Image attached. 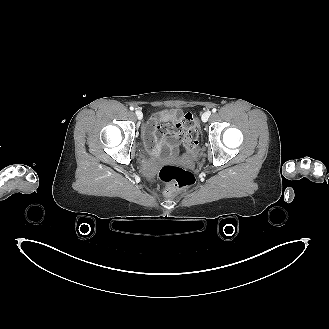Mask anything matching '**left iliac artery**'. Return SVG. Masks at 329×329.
Segmentation results:
<instances>
[{
	"label": "left iliac artery",
	"instance_id": "1",
	"mask_svg": "<svg viewBox=\"0 0 329 329\" xmlns=\"http://www.w3.org/2000/svg\"><path fill=\"white\" fill-rule=\"evenodd\" d=\"M216 111H217V109H216V108H213V109H212V112H213V113H215Z\"/></svg>",
	"mask_w": 329,
	"mask_h": 329
}]
</instances>
